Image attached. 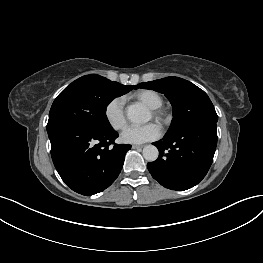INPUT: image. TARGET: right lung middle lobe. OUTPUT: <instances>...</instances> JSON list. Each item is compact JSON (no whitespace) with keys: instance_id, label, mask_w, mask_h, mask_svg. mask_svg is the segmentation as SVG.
<instances>
[{"instance_id":"right-lung-middle-lobe-1","label":"right lung middle lobe","mask_w":263,"mask_h":263,"mask_svg":"<svg viewBox=\"0 0 263 263\" xmlns=\"http://www.w3.org/2000/svg\"><path fill=\"white\" fill-rule=\"evenodd\" d=\"M129 92L117 82L102 76H83L66 87L54 100L47 131L60 125H84L95 129L112 128L106 107L116 97Z\"/></svg>"}]
</instances>
